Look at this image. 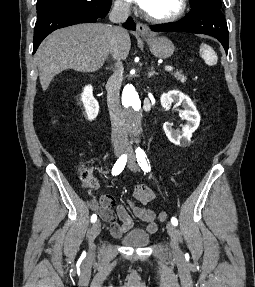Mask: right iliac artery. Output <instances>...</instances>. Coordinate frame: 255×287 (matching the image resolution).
Here are the masks:
<instances>
[{"instance_id": "1", "label": "right iliac artery", "mask_w": 255, "mask_h": 287, "mask_svg": "<svg viewBox=\"0 0 255 287\" xmlns=\"http://www.w3.org/2000/svg\"><path fill=\"white\" fill-rule=\"evenodd\" d=\"M126 162H127V156H126V154H123L122 156H120L118 158V160L114 164V166L112 168V174L114 176L119 175L123 171V169L126 165ZM96 220H97V216H96V214H93L91 217V222H95Z\"/></svg>"}]
</instances>
